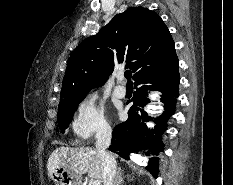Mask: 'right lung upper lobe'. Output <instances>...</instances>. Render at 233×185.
I'll return each instance as SVG.
<instances>
[{"mask_svg":"<svg viewBox=\"0 0 233 185\" xmlns=\"http://www.w3.org/2000/svg\"><path fill=\"white\" fill-rule=\"evenodd\" d=\"M176 58L174 41L163 20L147 8H129L74 50L59 104L83 99L90 89L103 85L121 63L133 70L135 79Z\"/></svg>","mask_w":233,"mask_h":185,"instance_id":"obj_1","label":"right lung upper lobe"}]
</instances>
